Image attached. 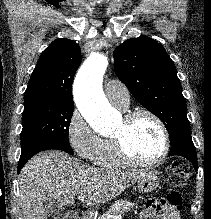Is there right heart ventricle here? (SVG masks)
<instances>
[{"label":"right heart ventricle","instance_id":"e07e8e85","mask_svg":"<svg viewBox=\"0 0 211 219\" xmlns=\"http://www.w3.org/2000/svg\"><path fill=\"white\" fill-rule=\"evenodd\" d=\"M92 161L95 165L105 168H119L125 165L118 158L111 138L102 139Z\"/></svg>","mask_w":211,"mask_h":219}]
</instances>
